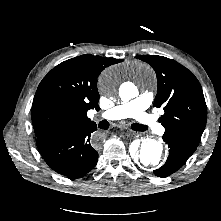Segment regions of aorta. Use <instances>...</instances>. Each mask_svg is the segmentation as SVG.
Instances as JSON below:
<instances>
[{"label":"aorta","mask_w":221,"mask_h":221,"mask_svg":"<svg viewBox=\"0 0 221 221\" xmlns=\"http://www.w3.org/2000/svg\"><path fill=\"white\" fill-rule=\"evenodd\" d=\"M120 70H112L105 72L100 79L101 90L112 95L115 92L116 78ZM137 89L132 86L128 90H120L119 95L122 100L128 101L136 97ZM164 156V147L160 141L154 139H144L141 141L139 149L133 151V158L145 168H154L162 163Z\"/></svg>","instance_id":"aorta-1"}]
</instances>
